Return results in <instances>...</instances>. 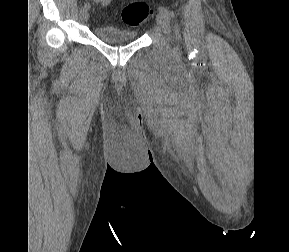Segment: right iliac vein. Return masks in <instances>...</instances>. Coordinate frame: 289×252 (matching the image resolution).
<instances>
[{"mask_svg": "<svg viewBox=\"0 0 289 252\" xmlns=\"http://www.w3.org/2000/svg\"><path fill=\"white\" fill-rule=\"evenodd\" d=\"M80 18L83 22H87L89 19V13L88 10L81 9L80 11Z\"/></svg>", "mask_w": 289, "mask_h": 252, "instance_id": "obj_1", "label": "right iliac vein"}]
</instances>
